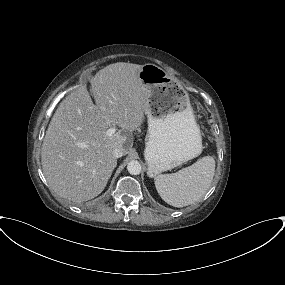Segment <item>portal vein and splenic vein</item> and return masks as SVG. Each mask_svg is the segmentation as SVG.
Wrapping results in <instances>:
<instances>
[{"label": "portal vein and splenic vein", "mask_w": 285, "mask_h": 285, "mask_svg": "<svg viewBox=\"0 0 285 285\" xmlns=\"http://www.w3.org/2000/svg\"><path fill=\"white\" fill-rule=\"evenodd\" d=\"M116 132V128L115 127H111L106 131V135L107 136H112L114 133Z\"/></svg>", "instance_id": "18ae733b"}]
</instances>
